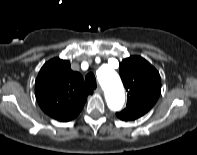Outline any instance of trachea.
I'll use <instances>...</instances> for the list:
<instances>
[{
  "label": "trachea",
  "mask_w": 197,
  "mask_h": 155,
  "mask_svg": "<svg viewBox=\"0 0 197 155\" xmlns=\"http://www.w3.org/2000/svg\"><path fill=\"white\" fill-rule=\"evenodd\" d=\"M85 81L90 88L95 89L97 87L96 78L93 73L87 74Z\"/></svg>",
  "instance_id": "obj_1"
}]
</instances>
